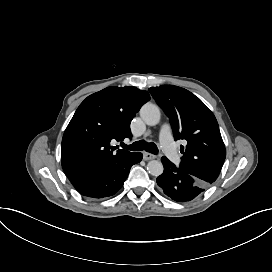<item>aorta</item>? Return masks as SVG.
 I'll return each mask as SVG.
<instances>
[{
  "mask_svg": "<svg viewBox=\"0 0 272 272\" xmlns=\"http://www.w3.org/2000/svg\"><path fill=\"white\" fill-rule=\"evenodd\" d=\"M140 116L149 126H156L161 119L160 109L157 105L146 103L140 110ZM147 171L153 176H159L163 173V165L159 160H151L147 164Z\"/></svg>",
  "mask_w": 272,
  "mask_h": 272,
  "instance_id": "1",
  "label": "aorta"
}]
</instances>
